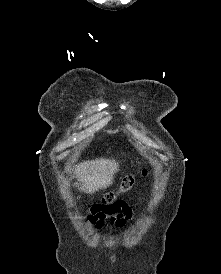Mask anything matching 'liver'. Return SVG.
Returning a JSON list of instances; mask_svg holds the SVG:
<instances>
[{"instance_id": "liver-1", "label": "liver", "mask_w": 221, "mask_h": 274, "mask_svg": "<svg viewBox=\"0 0 221 274\" xmlns=\"http://www.w3.org/2000/svg\"><path fill=\"white\" fill-rule=\"evenodd\" d=\"M118 171L117 162L101 158L76 165L74 174L78 182L82 183L79 189L93 194L112 185L114 175Z\"/></svg>"}]
</instances>
